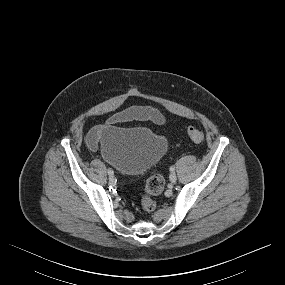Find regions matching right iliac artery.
Segmentation results:
<instances>
[{
	"label": "right iliac artery",
	"instance_id": "right-iliac-artery-1",
	"mask_svg": "<svg viewBox=\"0 0 285 285\" xmlns=\"http://www.w3.org/2000/svg\"><path fill=\"white\" fill-rule=\"evenodd\" d=\"M108 174L109 175H113L114 174L113 170L112 169H108Z\"/></svg>",
	"mask_w": 285,
	"mask_h": 285
}]
</instances>
